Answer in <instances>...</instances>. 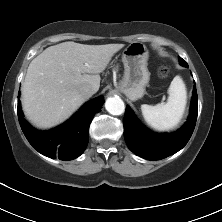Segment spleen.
<instances>
[{"instance_id":"1","label":"spleen","mask_w":222,"mask_h":222,"mask_svg":"<svg viewBox=\"0 0 222 222\" xmlns=\"http://www.w3.org/2000/svg\"><path fill=\"white\" fill-rule=\"evenodd\" d=\"M167 103L141 105L142 115L149 126L158 131L175 128L183 118L187 103L186 87L180 76L174 77L168 88Z\"/></svg>"}]
</instances>
